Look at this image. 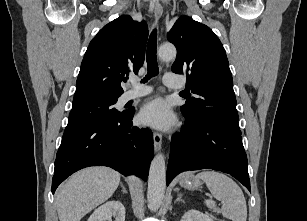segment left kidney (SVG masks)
I'll use <instances>...</instances> for the list:
<instances>
[{
	"label": "left kidney",
	"instance_id": "left-kidney-1",
	"mask_svg": "<svg viewBox=\"0 0 307 221\" xmlns=\"http://www.w3.org/2000/svg\"><path fill=\"white\" fill-rule=\"evenodd\" d=\"M180 221H213V219L198 210H189L183 215Z\"/></svg>",
	"mask_w": 307,
	"mask_h": 221
}]
</instances>
